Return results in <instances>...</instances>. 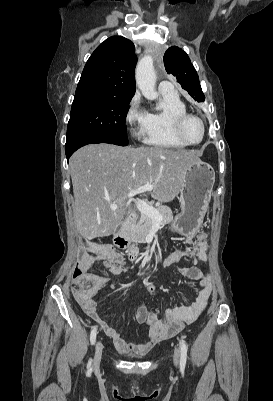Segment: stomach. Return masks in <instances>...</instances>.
<instances>
[{"label":"stomach","mask_w":273,"mask_h":401,"mask_svg":"<svg viewBox=\"0 0 273 401\" xmlns=\"http://www.w3.org/2000/svg\"><path fill=\"white\" fill-rule=\"evenodd\" d=\"M179 203L181 213L172 223V231L183 237H192L203 225L209 209L211 192L215 182V170L208 162H191L184 168Z\"/></svg>","instance_id":"0dacf381"}]
</instances>
